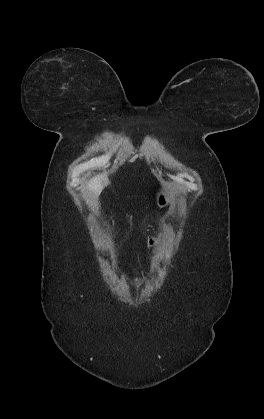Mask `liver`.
Here are the masks:
<instances>
[{
    "instance_id": "6515ba94",
    "label": "liver",
    "mask_w": 264,
    "mask_h": 419,
    "mask_svg": "<svg viewBox=\"0 0 264 419\" xmlns=\"http://www.w3.org/2000/svg\"><path fill=\"white\" fill-rule=\"evenodd\" d=\"M104 180H106L105 176H98V177H95V178L91 179L88 183V189L91 191V193H92V195L95 199L100 195V193H101V191L104 187V185H103Z\"/></svg>"
}]
</instances>
